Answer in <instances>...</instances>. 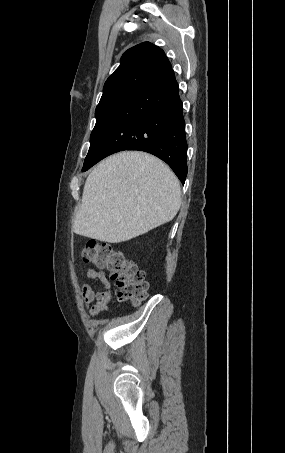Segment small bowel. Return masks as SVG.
I'll return each instance as SVG.
<instances>
[{
  "label": "small bowel",
  "mask_w": 285,
  "mask_h": 453,
  "mask_svg": "<svg viewBox=\"0 0 285 453\" xmlns=\"http://www.w3.org/2000/svg\"><path fill=\"white\" fill-rule=\"evenodd\" d=\"M85 274L89 279L103 285V288L98 291L93 290L89 284H83L81 286V294L85 307L91 304L89 312L92 316H96L104 312L109 305L111 300V284L103 271L88 269Z\"/></svg>",
  "instance_id": "small-bowel-1"
}]
</instances>
